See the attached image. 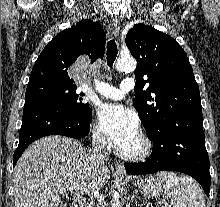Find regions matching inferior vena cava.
Wrapping results in <instances>:
<instances>
[{"mask_svg": "<svg viewBox=\"0 0 220 207\" xmlns=\"http://www.w3.org/2000/svg\"><path fill=\"white\" fill-rule=\"evenodd\" d=\"M106 137L100 133H94L92 136V150L90 151V162L93 167L104 165L107 160ZM91 200L86 207H95L94 198L99 197V189L96 186L91 188Z\"/></svg>", "mask_w": 220, "mask_h": 207, "instance_id": "602c4592", "label": "inferior vena cava"}]
</instances>
